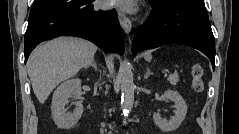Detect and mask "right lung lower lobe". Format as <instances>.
<instances>
[{"label": "right lung lower lobe", "instance_id": "obj_1", "mask_svg": "<svg viewBox=\"0 0 239 134\" xmlns=\"http://www.w3.org/2000/svg\"><path fill=\"white\" fill-rule=\"evenodd\" d=\"M93 0H35L25 33V63L41 42L59 36L87 39L105 52L124 53L116 12L95 10Z\"/></svg>", "mask_w": 239, "mask_h": 134}]
</instances>
